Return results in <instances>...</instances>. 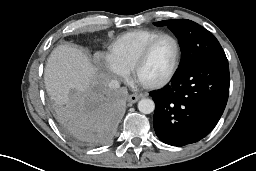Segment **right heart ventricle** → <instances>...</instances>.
Instances as JSON below:
<instances>
[{
  "mask_svg": "<svg viewBox=\"0 0 256 171\" xmlns=\"http://www.w3.org/2000/svg\"><path fill=\"white\" fill-rule=\"evenodd\" d=\"M160 34L147 29L127 32L111 43L108 57L126 71L131 70L147 43Z\"/></svg>",
  "mask_w": 256,
  "mask_h": 171,
  "instance_id": "right-heart-ventricle-1",
  "label": "right heart ventricle"
}]
</instances>
